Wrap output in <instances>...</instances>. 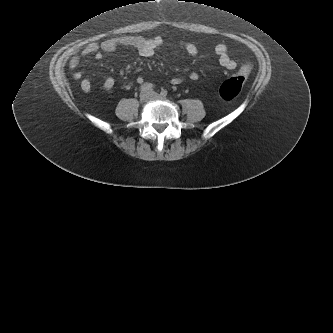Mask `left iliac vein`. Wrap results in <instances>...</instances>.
<instances>
[{
	"label": "left iliac vein",
	"mask_w": 333,
	"mask_h": 333,
	"mask_svg": "<svg viewBox=\"0 0 333 333\" xmlns=\"http://www.w3.org/2000/svg\"><path fill=\"white\" fill-rule=\"evenodd\" d=\"M151 93H152V98H153V99H166L165 96L160 95V94H158V93H156V92H151Z\"/></svg>",
	"instance_id": "4c4485c4"
}]
</instances>
